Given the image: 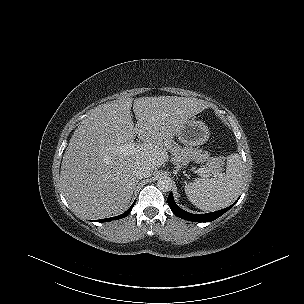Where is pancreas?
Returning <instances> with one entry per match:
<instances>
[{
    "label": "pancreas",
    "mask_w": 304,
    "mask_h": 304,
    "mask_svg": "<svg viewBox=\"0 0 304 304\" xmlns=\"http://www.w3.org/2000/svg\"><path fill=\"white\" fill-rule=\"evenodd\" d=\"M172 161L177 168H181L189 164L190 160L194 157L200 159L202 162L207 161L205 165L206 170H218L223 165V158L221 157H210L207 152H202L200 150H193L191 148H182L175 146L171 149Z\"/></svg>",
    "instance_id": "obj_1"
}]
</instances>
